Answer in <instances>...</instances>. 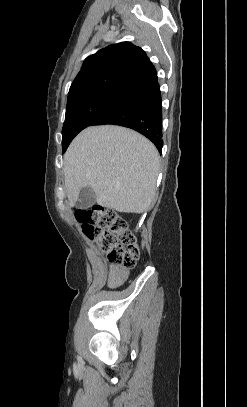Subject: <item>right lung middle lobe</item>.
Instances as JSON below:
<instances>
[{"label": "right lung middle lobe", "mask_w": 247, "mask_h": 407, "mask_svg": "<svg viewBox=\"0 0 247 407\" xmlns=\"http://www.w3.org/2000/svg\"><path fill=\"white\" fill-rule=\"evenodd\" d=\"M135 91L127 87H110L68 103L62 129V151H66L70 142L80 131L93 125L97 119L115 108Z\"/></svg>", "instance_id": "obj_1"}]
</instances>
